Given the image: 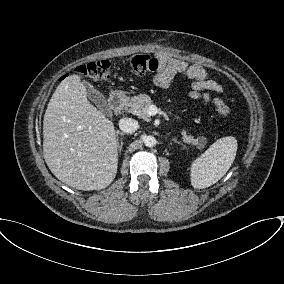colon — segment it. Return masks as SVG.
<instances>
[{
	"label": "colon",
	"instance_id": "obj_1",
	"mask_svg": "<svg viewBox=\"0 0 284 284\" xmlns=\"http://www.w3.org/2000/svg\"><path fill=\"white\" fill-rule=\"evenodd\" d=\"M127 65L131 73L143 76L158 70L160 61L147 54H137L128 58ZM111 67V61L104 59L80 65L76 71L92 80L103 81L110 77ZM213 105L224 118L230 116V109L221 98L215 97Z\"/></svg>",
	"mask_w": 284,
	"mask_h": 284
}]
</instances>
